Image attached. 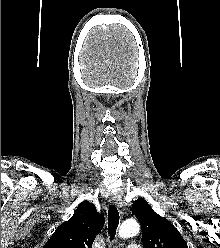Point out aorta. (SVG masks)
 <instances>
[{
    "instance_id": "1",
    "label": "aorta",
    "mask_w": 220,
    "mask_h": 248,
    "mask_svg": "<svg viewBox=\"0 0 220 248\" xmlns=\"http://www.w3.org/2000/svg\"><path fill=\"white\" fill-rule=\"evenodd\" d=\"M140 226L137 221L128 219L124 221L119 228V236L121 238H129L139 233Z\"/></svg>"
}]
</instances>
